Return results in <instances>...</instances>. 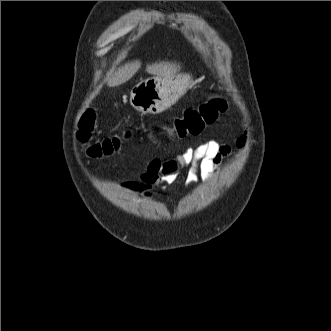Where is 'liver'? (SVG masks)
<instances>
[{
  "label": "liver",
  "instance_id": "obj_1",
  "mask_svg": "<svg viewBox=\"0 0 331 331\" xmlns=\"http://www.w3.org/2000/svg\"><path fill=\"white\" fill-rule=\"evenodd\" d=\"M140 67L141 62L139 60H135L126 63L115 71L111 70L106 76L107 85L109 87H115L127 82L135 75ZM180 69L181 67L179 64L177 65L176 63L167 61L148 64L146 66L147 73L162 78H172L176 76Z\"/></svg>",
  "mask_w": 331,
  "mask_h": 331
}]
</instances>
